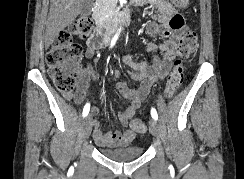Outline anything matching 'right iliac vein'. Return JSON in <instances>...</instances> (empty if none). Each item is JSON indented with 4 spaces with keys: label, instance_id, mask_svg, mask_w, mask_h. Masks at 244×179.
Wrapping results in <instances>:
<instances>
[{
    "label": "right iliac vein",
    "instance_id": "right-iliac-vein-1",
    "mask_svg": "<svg viewBox=\"0 0 244 179\" xmlns=\"http://www.w3.org/2000/svg\"><path fill=\"white\" fill-rule=\"evenodd\" d=\"M92 132V116L89 114L86 116L82 123L83 136L88 138Z\"/></svg>",
    "mask_w": 244,
    "mask_h": 179
}]
</instances>
